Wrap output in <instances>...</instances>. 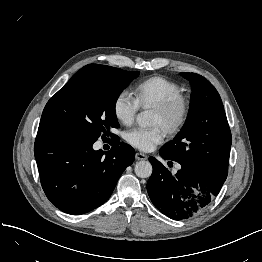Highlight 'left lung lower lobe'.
<instances>
[{
	"instance_id": "0a47b994",
	"label": "left lung lower lobe",
	"mask_w": 262,
	"mask_h": 262,
	"mask_svg": "<svg viewBox=\"0 0 262 262\" xmlns=\"http://www.w3.org/2000/svg\"><path fill=\"white\" fill-rule=\"evenodd\" d=\"M165 160H172L159 152ZM153 172L146 188L154 206L175 220L188 219L206 208L219 193L227 172L216 178L205 177L190 166L181 164L174 175L161 162L150 157Z\"/></svg>"
}]
</instances>
